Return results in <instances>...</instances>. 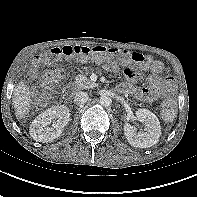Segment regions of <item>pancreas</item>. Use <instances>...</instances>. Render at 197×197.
I'll return each instance as SVG.
<instances>
[{"label":"pancreas","mask_w":197,"mask_h":197,"mask_svg":"<svg viewBox=\"0 0 197 197\" xmlns=\"http://www.w3.org/2000/svg\"><path fill=\"white\" fill-rule=\"evenodd\" d=\"M73 85L76 89H91L97 84L90 81L85 75L79 74L75 77Z\"/></svg>","instance_id":"obj_1"}]
</instances>
